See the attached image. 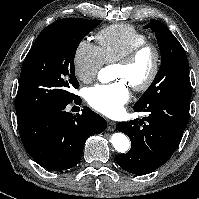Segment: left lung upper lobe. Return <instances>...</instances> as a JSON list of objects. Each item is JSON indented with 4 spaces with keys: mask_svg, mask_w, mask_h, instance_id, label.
Masks as SVG:
<instances>
[{
    "mask_svg": "<svg viewBox=\"0 0 199 199\" xmlns=\"http://www.w3.org/2000/svg\"><path fill=\"white\" fill-rule=\"evenodd\" d=\"M144 28H151L155 32L162 60L153 83L134 108L148 109L153 104L172 99L191 101L189 65L182 45L167 26L158 20H150Z\"/></svg>",
    "mask_w": 199,
    "mask_h": 199,
    "instance_id": "left-lung-upper-lobe-1",
    "label": "left lung upper lobe"
}]
</instances>
